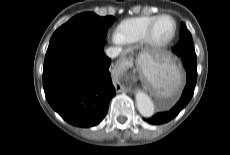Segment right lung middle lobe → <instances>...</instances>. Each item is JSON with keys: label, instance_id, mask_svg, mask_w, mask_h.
I'll return each instance as SVG.
<instances>
[{"label": "right lung middle lobe", "instance_id": "dd1d6c3e", "mask_svg": "<svg viewBox=\"0 0 230 155\" xmlns=\"http://www.w3.org/2000/svg\"><path fill=\"white\" fill-rule=\"evenodd\" d=\"M113 22L112 16L99 17L92 12L78 14L54 32L47 52L68 44L105 43Z\"/></svg>", "mask_w": 230, "mask_h": 155}]
</instances>
